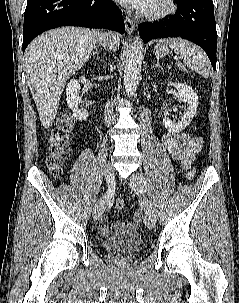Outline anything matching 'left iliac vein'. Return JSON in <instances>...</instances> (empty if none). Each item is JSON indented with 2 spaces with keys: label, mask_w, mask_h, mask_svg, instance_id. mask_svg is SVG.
I'll use <instances>...</instances> for the list:
<instances>
[{
  "label": "left iliac vein",
  "mask_w": 239,
  "mask_h": 303,
  "mask_svg": "<svg viewBox=\"0 0 239 303\" xmlns=\"http://www.w3.org/2000/svg\"><path fill=\"white\" fill-rule=\"evenodd\" d=\"M129 185L137 195L143 196V185L137 173L131 175ZM144 223L150 229L156 226V216L148 200H145Z\"/></svg>",
  "instance_id": "left-iliac-vein-1"
}]
</instances>
